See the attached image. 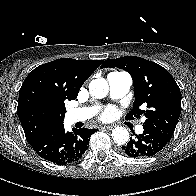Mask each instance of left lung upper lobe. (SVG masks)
<instances>
[{"instance_id": "5c2ea615", "label": "left lung upper lobe", "mask_w": 196, "mask_h": 196, "mask_svg": "<svg viewBox=\"0 0 196 196\" xmlns=\"http://www.w3.org/2000/svg\"><path fill=\"white\" fill-rule=\"evenodd\" d=\"M117 67L130 73L135 101L127 119L146 116L143 127L153 128L170 141L181 113L180 89L171 74L162 66L136 56L104 61L101 68ZM147 107L141 110V105Z\"/></svg>"}]
</instances>
